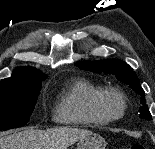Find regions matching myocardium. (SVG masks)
I'll list each match as a JSON object with an SVG mask.
<instances>
[{"instance_id": "myocardium-1", "label": "myocardium", "mask_w": 155, "mask_h": 149, "mask_svg": "<svg viewBox=\"0 0 155 149\" xmlns=\"http://www.w3.org/2000/svg\"><path fill=\"white\" fill-rule=\"evenodd\" d=\"M117 99L121 104V109L119 113L115 114L111 112L108 108V101L110 99ZM96 107L99 113L104 116L109 121H117L121 119L127 110V100L124 94L115 88H104L102 89L96 98Z\"/></svg>"}]
</instances>
